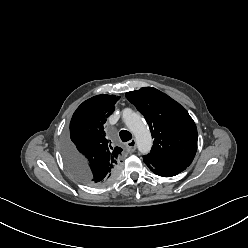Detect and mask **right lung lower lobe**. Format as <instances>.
Masks as SVG:
<instances>
[{
	"label": "right lung lower lobe",
	"mask_w": 248,
	"mask_h": 248,
	"mask_svg": "<svg viewBox=\"0 0 248 248\" xmlns=\"http://www.w3.org/2000/svg\"><path fill=\"white\" fill-rule=\"evenodd\" d=\"M65 162H66L67 167L70 170H72L73 172H77L78 174H80V177H81V180L80 181L81 182L91 185V181L89 179H87L86 176L82 172H80V171H78L76 169L73 161H65ZM95 178H99V180H101V181L104 180V182H106L108 180V177H106L105 179H103L104 177H95Z\"/></svg>",
	"instance_id": "obj_1"
}]
</instances>
